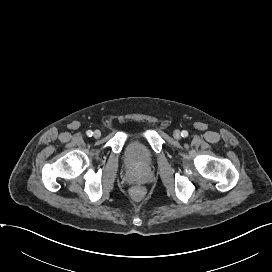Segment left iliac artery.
I'll return each instance as SVG.
<instances>
[{
  "mask_svg": "<svg viewBox=\"0 0 272 272\" xmlns=\"http://www.w3.org/2000/svg\"><path fill=\"white\" fill-rule=\"evenodd\" d=\"M181 136H182V137H187V136H188V132H187L186 130H183V131L181 132Z\"/></svg>",
  "mask_w": 272,
  "mask_h": 272,
  "instance_id": "left-iliac-artery-1",
  "label": "left iliac artery"
}]
</instances>
